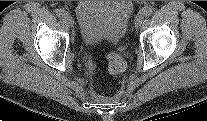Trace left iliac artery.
Here are the masks:
<instances>
[{
	"label": "left iliac artery",
	"mask_w": 207,
	"mask_h": 121,
	"mask_svg": "<svg viewBox=\"0 0 207 121\" xmlns=\"http://www.w3.org/2000/svg\"><path fill=\"white\" fill-rule=\"evenodd\" d=\"M153 7L152 6H146L141 10V14L145 15V16H149L151 15V13L153 12Z\"/></svg>",
	"instance_id": "obj_1"
}]
</instances>
